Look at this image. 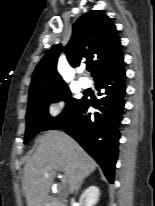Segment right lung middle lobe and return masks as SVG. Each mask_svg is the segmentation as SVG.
Listing matches in <instances>:
<instances>
[{"label":"right lung middle lobe","instance_id":"right-lung-middle-lobe-1","mask_svg":"<svg viewBox=\"0 0 155 206\" xmlns=\"http://www.w3.org/2000/svg\"><path fill=\"white\" fill-rule=\"evenodd\" d=\"M69 96L70 92L67 85L56 86L29 96L24 144H27L38 132L53 129L56 124L71 114L81 99L67 100ZM59 100H67V105L61 115L52 118L48 113V107L51 103Z\"/></svg>","mask_w":155,"mask_h":206}]
</instances>
